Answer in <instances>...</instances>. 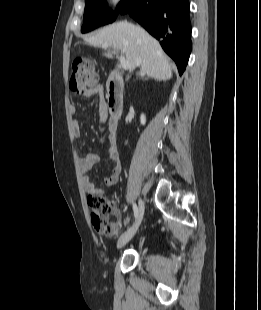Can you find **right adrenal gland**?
Segmentation results:
<instances>
[{
  "mask_svg": "<svg viewBox=\"0 0 261 310\" xmlns=\"http://www.w3.org/2000/svg\"><path fill=\"white\" fill-rule=\"evenodd\" d=\"M141 78L143 79V78H146V77H144V75L141 74ZM147 78H149V76H147Z\"/></svg>",
  "mask_w": 261,
  "mask_h": 310,
  "instance_id": "2a0ac1e0",
  "label": "right adrenal gland"
}]
</instances>
